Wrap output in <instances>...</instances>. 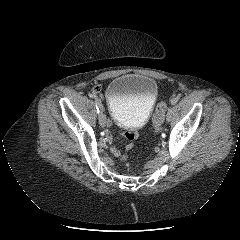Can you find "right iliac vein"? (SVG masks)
Segmentation results:
<instances>
[{"instance_id": "right-iliac-vein-1", "label": "right iliac vein", "mask_w": 240, "mask_h": 240, "mask_svg": "<svg viewBox=\"0 0 240 240\" xmlns=\"http://www.w3.org/2000/svg\"><path fill=\"white\" fill-rule=\"evenodd\" d=\"M99 124L104 127L106 125V116L103 112H101L98 116Z\"/></svg>"}]
</instances>
